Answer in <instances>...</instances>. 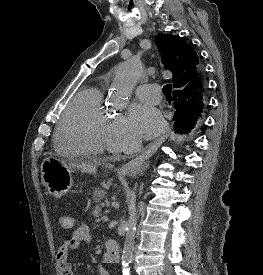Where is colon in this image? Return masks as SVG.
Here are the masks:
<instances>
[{
  "mask_svg": "<svg viewBox=\"0 0 263 275\" xmlns=\"http://www.w3.org/2000/svg\"><path fill=\"white\" fill-rule=\"evenodd\" d=\"M59 223L63 229L69 230L74 226V219L69 215H61L59 218Z\"/></svg>",
  "mask_w": 263,
  "mask_h": 275,
  "instance_id": "colon-1",
  "label": "colon"
}]
</instances>
